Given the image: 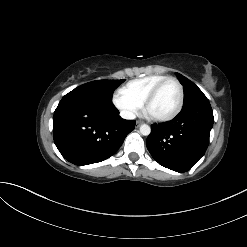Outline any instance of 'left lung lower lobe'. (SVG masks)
I'll return each instance as SVG.
<instances>
[{"label":"left lung lower lobe","mask_w":247,"mask_h":247,"mask_svg":"<svg viewBox=\"0 0 247 247\" xmlns=\"http://www.w3.org/2000/svg\"><path fill=\"white\" fill-rule=\"evenodd\" d=\"M213 122L208 99L194 101L173 120L151 126L147 149L160 165L186 172L204 155Z\"/></svg>","instance_id":"0a47b994"}]
</instances>
